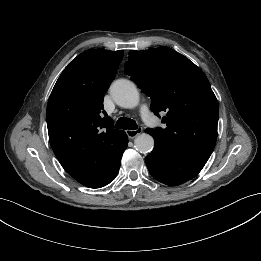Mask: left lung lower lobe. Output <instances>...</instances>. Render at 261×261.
I'll return each instance as SVG.
<instances>
[{
    "mask_svg": "<svg viewBox=\"0 0 261 261\" xmlns=\"http://www.w3.org/2000/svg\"><path fill=\"white\" fill-rule=\"evenodd\" d=\"M210 156L175 152L155 142L154 149L145 158L150 174L159 182L179 185L195 177Z\"/></svg>",
    "mask_w": 261,
    "mask_h": 261,
    "instance_id": "1",
    "label": "left lung lower lobe"
}]
</instances>
